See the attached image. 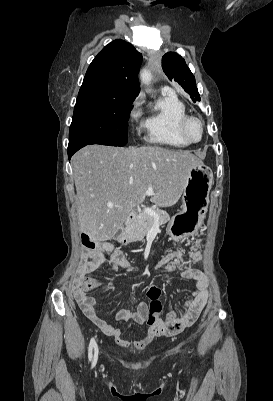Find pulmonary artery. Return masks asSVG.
I'll list each match as a JSON object with an SVG mask.
<instances>
[{
    "label": "pulmonary artery",
    "instance_id": "pulmonary-artery-1",
    "mask_svg": "<svg viewBox=\"0 0 273 401\" xmlns=\"http://www.w3.org/2000/svg\"><path fill=\"white\" fill-rule=\"evenodd\" d=\"M167 91H168L169 93H172V92L174 91V88H173L172 86H169V87L167 88Z\"/></svg>",
    "mask_w": 273,
    "mask_h": 401
}]
</instances>
